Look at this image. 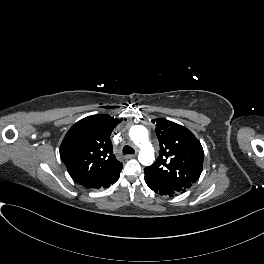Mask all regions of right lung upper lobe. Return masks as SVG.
Returning <instances> with one entry per match:
<instances>
[{
	"mask_svg": "<svg viewBox=\"0 0 264 264\" xmlns=\"http://www.w3.org/2000/svg\"><path fill=\"white\" fill-rule=\"evenodd\" d=\"M121 121L109 115H93L69 129L60 146V156L75 182L94 188L122 169L110 140Z\"/></svg>",
	"mask_w": 264,
	"mask_h": 264,
	"instance_id": "1",
	"label": "right lung upper lobe"
}]
</instances>
